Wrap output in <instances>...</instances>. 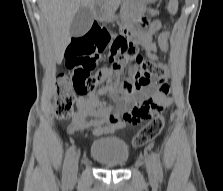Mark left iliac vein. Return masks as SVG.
Instances as JSON below:
<instances>
[{
	"mask_svg": "<svg viewBox=\"0 0 223 191\" xmlns=\"http://www.w3.org/2000/svg\"><path fill=\"white\" fill-rule=\"evenodd\" d=\"M145 166H146V170H147L149 179L151 181L155 182L156 179H157V176H156V172H155L154 165H153L152 161L151 160H146L145 161Z\"/></svg>",
	"mask_w": 223,
	"mask_h": 191,
	"instance_id": "obj_1",
	"label": "left iliac vein"
}]
</instances>
